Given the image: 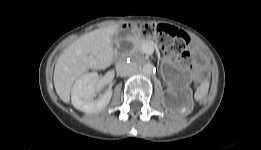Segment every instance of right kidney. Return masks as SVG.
Wrapping results in <instances>:
<instances>
[{
  "mask_svg": "<svg viewBox=\"0 0 261 150\" xmlns=\"http://www.w3.org/2000/svg\"><path fill=\"white\" fill-rule=\"evenodd\" d=\"M101 86L96 72L81 76L72 88L71 100L73 106L86 113H96L103 110L110 102L112 90H106L95 99Z\"/></svg>",
  "mask_w": 261,
  "mask_h": 150,
  "instance_id": "ca27d5eb",
  "label": "right kidney"
}]
</instances>
